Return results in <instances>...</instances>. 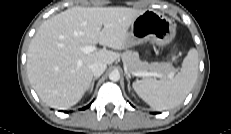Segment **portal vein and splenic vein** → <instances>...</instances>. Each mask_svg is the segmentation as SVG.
<instances>
[{
  "label": "portal vein and splenic vein",
  "instance_id": "1",
  "mask_svg": "<svg viewBox=\"0 0 231 134\" xmlns=\"http://www.w3.org/2000/svg\"><path fill=\"white\" fill-rule=\"evenodd\" d=\"M97 48L96 46H84L82 47V51L84 53H90L96 51ZM175 72H172L169 74V76H173ZM134 76L137 77H150V76H155V77H161L162 75L156 73V72H135L133 73Z\"/></svg>",
  "mask_w": 231,
  "mask_h": 134
}]
</instances>
